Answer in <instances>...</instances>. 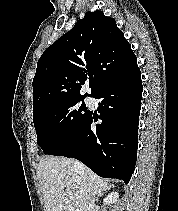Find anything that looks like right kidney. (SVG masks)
<instances>
[{
  "label": "right kidney",
  "mask_w": 178,
  "mask_h": 211,
  "mask_svg": "<svg viewBox=\"0 0 178 211\" xmlns=\"http://www.w3.org/2000/svg\"><path fill=\"white\" fill-rule=\"evenodd\" d=\"M118 198H119L118 192H111L106 196V198H104L103 203L105 205L114 204L118 201Z\"/></svg>",
  "instance_id": "1"
}]
</instances>
